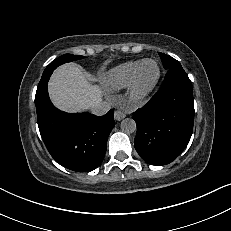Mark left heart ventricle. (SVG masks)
<instances>
[{"mask_svg": "<svg viewBox=\"0 0 231 231\" xmlns=\"http://www.w3.org/2000/svg\"><path fill=\"white\" fill-rule=\"evenodd\" d=\"M157 75V67L154 63L144 64L137 77V86L140 90L147 88Z\"/></svg>", "mask_w": 231, "mask_h": 231, "instance_id": "left-heart-ventricle-1", "label": "left heart ventricle"}]
</instances>
